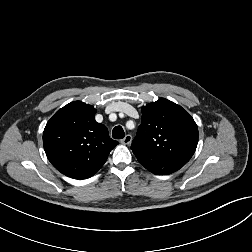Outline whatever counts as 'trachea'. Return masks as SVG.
Masks as SVG:
<instances>
[{
    "label": "trachea",
    "mask_w": 252,
    "mask_h": 252,
    "mask_svg": "<svg viewBox=\"0 0 252 252\" xmlns=\"http://www.w3.org/2000/svg\"><path fill=\"white\" fill-rule=\"evenodd\" d=\"M124 136H125V133L121 126H116L113 128L112 137L114 139H123Z\"/></svg>",
    "instance_id": "3493384b"
}]
</instances>
